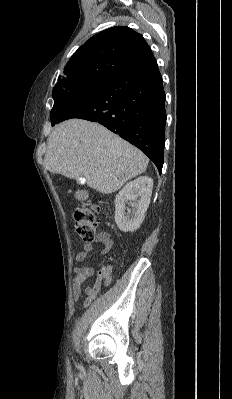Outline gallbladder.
<instances>
[{"label": "gallbladder", "instance_id": "1", "mask_svg": "<svg viewBox=\"0 0 232 399\" xmlns=\"http://www.w3.org/2000/svg\"><path fill=\"white\" fill-rule=\"evenodd\" d=\"M77 184H79V186H85L86 182H82V180H77Z\"/></svg>", "mask_w": 232, "mask_h": 399}]
</instances>
